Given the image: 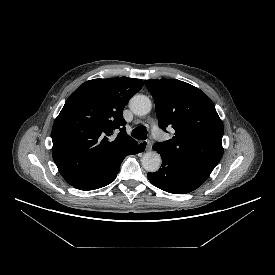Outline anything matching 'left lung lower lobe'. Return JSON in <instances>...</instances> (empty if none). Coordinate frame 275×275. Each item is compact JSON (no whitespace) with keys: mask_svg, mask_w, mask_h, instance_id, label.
I'll use <instances>...</instances> for the list:
<instances>
[{"mask_svg":"<svg viewBox=\"0 0 275 275\" xmlns=\"http://www.w3.org/2000/svg\"><path fill=\"white\" fill-rule=\"evenodd\" d=\"M156 151L161 155L162 166L157 172L147 174L150 182L156 187L173 194H185L197 189L208 178L164 151Z\"/></svg>","mask_w":275,"mask_h":275,"instance_id":"left-lung-lower-lobe-1","label":"left lung lower lobe"}]
</instances>
